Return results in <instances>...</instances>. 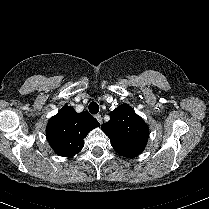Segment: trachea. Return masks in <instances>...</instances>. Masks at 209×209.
<instances>
[{
    "mask_svg": "<svg viewBox=\"0 0 209 209\" xmlns=\"http://www.w3.org/2000/svg\"><path fill=\"white\" fill-rule=\"evenodd\" d=\"M88 108L91 114H97L99 112V105L96 102H91Z\"/></svg>",
    "mask_w": 209,
    "mask_h": 209,
    "instance_id": "1",
    "label": "trachea"
}]
</instances>
